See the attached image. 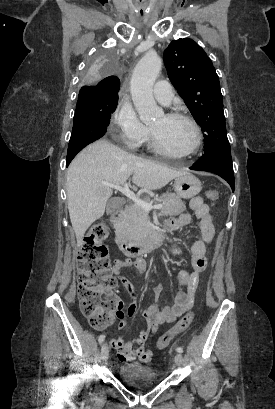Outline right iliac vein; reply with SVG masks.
I'll return each instance as SVG.
<instances>
[{
  "instance_id": "obj_1",
  "label": "right iliac vein",
  "mask_w": 275,
  "mask_h": 409,
  "mask_svg": "<svg viewBox=\"0 0 275 409\" xmlns=\"http://www.w3.org/2000/svg\"><path fill=\"white\" fill-rule=\"evenodd\" d=\"M101 356L103 360H107L109 357V347L106 343H103L101 348Z\"/></svg>"
}]
</instances>
